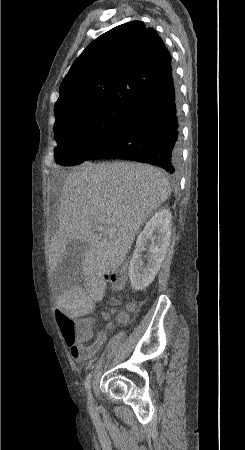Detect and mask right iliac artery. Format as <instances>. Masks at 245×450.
Here are the masks:
<instances>
[{"label": "right iliac artery", "instance_id": "right-iliac-artery-1", "mask_svg": "<svg viewBox=\"0 0 245 450\" xmlns=\"http://www.w3.org/2000/svg\"><path fill=\"white\" fill-rule=\"evenodd\" d=\"M91 378H92V373H90L87 376V379L85 381V388L88 394V403L90 404V406H92L93 404V398H92V393H91Z\"/></svg>", "mask_w": 245, "mask_h": 450}]
</instances>
